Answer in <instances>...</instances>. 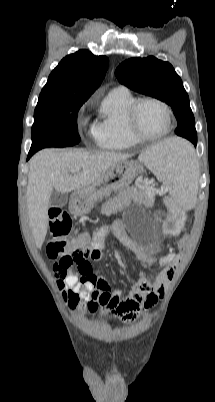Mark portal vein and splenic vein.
<instances>
[{
	"mask_svg": "<svg viewBox=\"0 0 215 402\" xmlns=\"http://www.w3.org/2000/svg\"><path fill=\"white\" fill-rule=\"evenodd\" d=\"M71 172H72V173H79V172H80V169H79V168H74V169L71 170Z\"/></svg>",
	"mask_w": 215,
	"mask_h": 402,
	"instance_id": "obj_1",
	"label": "portal vein and splenic vein"
}]
</instances>
